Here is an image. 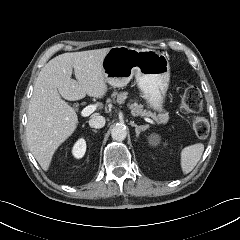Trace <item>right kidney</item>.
Segmentation results:
<instances>
[{"instance_id":"obj_1","label":"right kidney","mask_w":240,"mask_h":240,"mask_svg":"<svg viewBox=\"0 0 240 240\" xmlns=\"http://www.w3.org/2000/svg\"><path fill=\"white\" fill-rule=\"evenodd\" d=\"M86 152V142L84 139H79L73 149H72V153L75 156V158H82L84 156Z\"/></svg>"}]
</instances>
